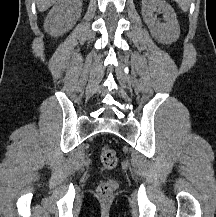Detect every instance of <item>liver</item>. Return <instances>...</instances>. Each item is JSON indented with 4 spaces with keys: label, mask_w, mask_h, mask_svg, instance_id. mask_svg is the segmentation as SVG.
<instances>
[{
    "label": "liver",
    "mask_w": 216,
    "mask_h": 217,
    "mask_svg": "<svg viewBox=\"0 0 216 217\" xmlns=\"http://www.w3.org/2000/svg\"><path fill=\"white\" fill-rule=\"evenodd\" d=\"M58 1L59 0H36L37 8L40 12H44Z\"/></svg>",
    "instance_id": "1"
}]
</instances>
